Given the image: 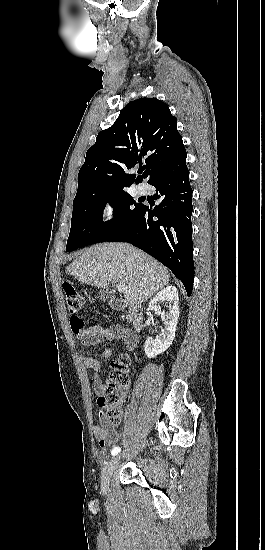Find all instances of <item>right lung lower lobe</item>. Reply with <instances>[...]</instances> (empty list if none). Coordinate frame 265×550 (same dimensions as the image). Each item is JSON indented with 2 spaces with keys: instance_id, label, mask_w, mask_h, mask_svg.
Wrapping results in <instances>:
<instances>
[{
  "instance_id": "obj_1",
  "label": "right lung lower lobe",
  "mask_w": 265,
  "mask_h": 550,
  "mask_svg": "<svg viewBox=\"0 0 265 550\" xmlns=\"http://www.w3.org/2000/svg\"><path fill=\"white\" fill-rule=\"evenodd\" d=\"M186 157L183 148L150 180L160 204L154 208L143 205L131 222L106 241L128 242L150 254L182 281L190 296L194 281L192 188Z\"/></svg>"
}]
</instances>
